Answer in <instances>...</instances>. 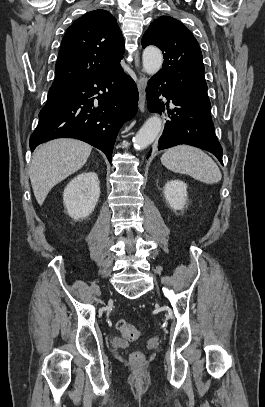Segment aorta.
<instances>
[{
  "label": "aorta",
  "instance_id": "1",
  "mask_svg": "<svg viewBox=\"0 0 265 407\" xmlns=\"http://www.w3.org/2000/svg\"><path fill=\"white\" fill-rule=\"evenodd\" d=\"M143 70L149 74H156L163 63V56L157 48H146L143 52ZM162 129V120L155 115L149 118L133 138L135 148L144 149L148 147L159 135Z\"/></svg>",
  "mask_w": 265,
  "mask_h": 407
}]
</instances>
